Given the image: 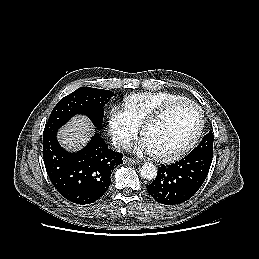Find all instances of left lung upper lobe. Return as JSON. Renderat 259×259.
Wrapping results in <instances>:
<instances>
[{"mask_svg": "<svg viewBox=\"0 0 259 259\" xmlns=\"http://www.w3.org/2000/svg\"><path fill=\"white\" fill-rule=\"evenodd\" d=\"M213 141L214 136L210 131L207 135H205L200 142V144L191 151V153H201L209 156H213Z\"/></svg>", "mask_w": 259, "mask_h": 259, "instance_id": "left-lung-upper-lobe-1", "label": "left lung upper lobe"}]
</instances>
